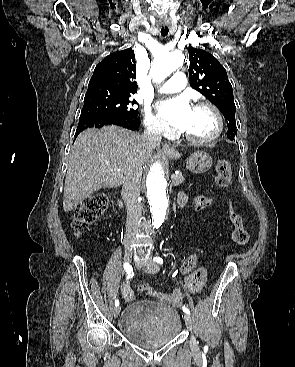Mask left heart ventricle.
Instances as JSON below:
<instances>
[{
  "label": "left heart ventricle",
  "instance_id": "1",
  "mask_svg": "<svg viewBox=\"0 0 295 367\" xmlns=\"http://www.w3.org/2000/svg\"><path fill=\"white\" fill-rule=\"evenodd\" d=\"M216 120L213 113L207 108H192L183 132L191 137L202 139L214 133Z\"/></svg>",
  "mask_w": 295,
  "mask_h": 367
}]
</instances>
